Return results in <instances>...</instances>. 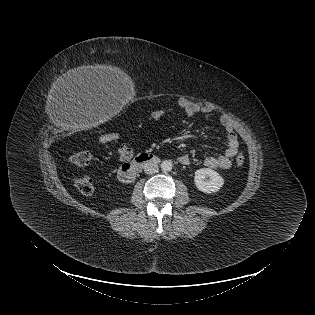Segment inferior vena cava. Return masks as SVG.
Listing matches in <instances>:
<instances>
[{"label":"inferior vena cava","instance_id":"602c4592","mask_svg":"<svg viewBox=\"0 0 315 315\" xmlns=\"http://www.w3.org/2000/svg\"><path fill=\"white\" fill-rule=\"evenodd\" d=\"M158 165L154 161H149L144 165V172L146 174H154L158 172Z\"/></svg>","mask_w":315,"mask_h":315}]
</instances>
